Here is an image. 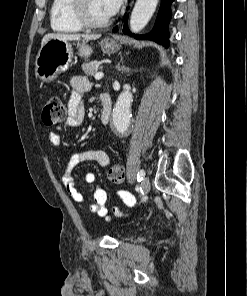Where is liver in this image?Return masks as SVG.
I'll return each mask as SVG.
<instances>
[{
	"label": "liver",
	"instance_id": "liver-1",
	"mask_svg": "<svg viewBox=\"0 0 247 296\" xmlns=\"http://www.w3.org/2000/svg\"><path fill=\"white\" fill-rule=\"evenodd\" d=\"M83 38L86 41L89 40H97L100 38V35H80V34H62V33H49L46 34L41 42V46H43L50 39H59L63 41H75Z\"/></svg>",
	"mask_w": 247,
	"mask_h": 296
}]
</instances>
